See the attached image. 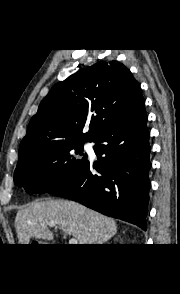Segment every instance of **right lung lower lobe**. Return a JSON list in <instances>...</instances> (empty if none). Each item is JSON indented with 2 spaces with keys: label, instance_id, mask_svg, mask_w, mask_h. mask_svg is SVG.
Masks as SVG:
<instances>
[{
  "label": "right lung lower lobe",
  "instance_id": "obj_1",
  "mask_svg": "<svg viewBox=\"0 0 180 294\" xmlns=\"http://www.w3.org/2000/svg\"><path fill=\"white\" fill-rule=\"evenodd\" d=\"M147 119L143 100L95 137L98 165L87 160L71 179L48 193L146 230L151 187Z\"/></svg>",
  "mask_w": 180,
  "mask_h": 294
}]
</instances>
